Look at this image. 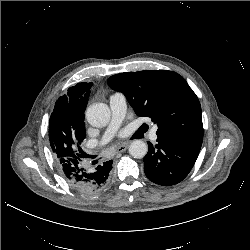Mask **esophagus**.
Masks as SVG:
<instances>
[{"mask_svg":"<svg viewBox=\"0 0 250 250\" xmlns=\"http://www.w3.org/2000/svg\"><path fill=\"white\" fill-rule=\"evenodd\" d=\"M129 144L128 143H123V144H120L116 147V150L118 152H124L126 151V149L128 148Z\"/></svg>","mask_w":250,"mask_h":250,"instance_id":"obj_1","label":"esophagus"}]
</instances>
